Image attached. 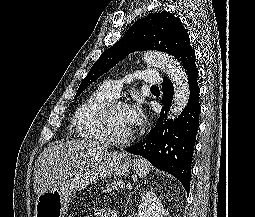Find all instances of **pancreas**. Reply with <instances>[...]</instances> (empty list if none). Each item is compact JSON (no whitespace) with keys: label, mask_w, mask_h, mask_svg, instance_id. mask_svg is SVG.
<instances>
[{"label":"pancreas","mask_w":255,"mask_h":217,"mask_svg":"<svg viewBox=\"0 0 255 217\" xmlns=\"http://www.w3.org/2000/svg\"><path fill=\"white\" fill-rule=\"evenodd\" d=\"M124 181L123 180H113L107 184L106 187L103 188L104 193H111L113 190H119L123 188Z\"/></svg>","instance_id":"1"}]
</instances>
